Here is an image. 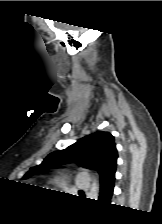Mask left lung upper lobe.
I'll use <instances>...</instances> for the list:
<instances>
[{"label":"left lung upper lobe","mask_w":162,"mask_h":224,"mask_svg":"<svg viewBox=\"0 0 162 224\" xmlns=\"http://www.w3.org/2000/svg\"><path fill=\"white\" fill-rule=\"evenodd\" d=\"M118 153L114 137L103 131L90 134L66 149L50 153L40 165L30 168L24 179L53 168V165L77 163L94 169L100 175V183L116 170Z\"/></svg>","instance_id":"1"}]
</instances>
